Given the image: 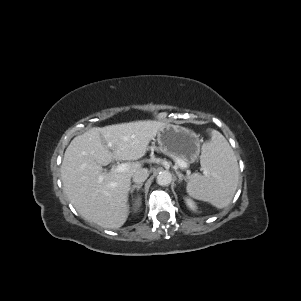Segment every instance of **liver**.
Here are the masks:
<instances>
[{"instance_id":"obj_1","label":"liver","mask_w":301,"mask_h":301,"mask_svg":"<svg viewBox=\"0 0 301 301\" xmlns=\"http://www.w3.org/2000/svg\"><path fill=\"white\" fill-rule=\"evenodd\" d=\"M165 125L151 120L109 125L92 128L71 141L62 161L61 179L69 201L83 218L108 229L126 222L131 178L142 164L131 162L124 172L106 174L102 166L113 160L142 158Z\"/></svg>"}]
</instances>
